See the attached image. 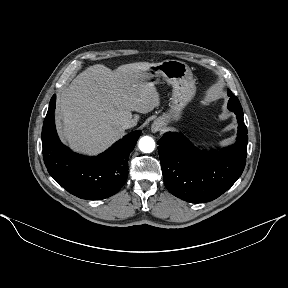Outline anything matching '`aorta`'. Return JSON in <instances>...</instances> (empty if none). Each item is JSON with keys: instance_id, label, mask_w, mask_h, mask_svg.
Here are the masks:
<instances>
[{"instance_id": "1", "label": "aorta", "mask_w": 288, "mask_h": 288, "mask_svg": "<svg viewBox=\"0 0 288 288\" xmlns=\"http://www.w3.org/2000/svg\"><path fill=\"white\" fill-rule=\"evenodd\" d=\"M138 146L143 153H151L155 149V141L152 137L144 136L139 140Z\"/></svg>"}]
</instances>
